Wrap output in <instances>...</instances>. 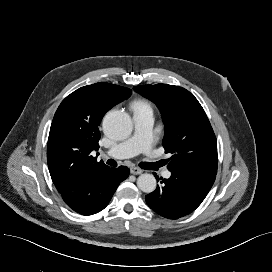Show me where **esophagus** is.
<instances>
[{"mask_svg": "<svg viewBox=\"0 0 272 272\" xmlns=\"http://www.w3.org/2000/svg\"><path fill=\"white\" fill-rule=\"evenodd\" d=\"M130 172H131V174L139 175L143 172V170L138 167H131Z\"/></svg>", "mask_w": 272, "mask_h": 272, "instance_id": "esophagus-1", "label": "esophagus"}]
</instances>
